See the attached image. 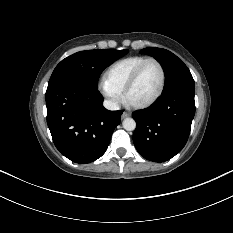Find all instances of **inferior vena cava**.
<instances>
[{
    "label": "inferior vena cava",
    "instance_id": "obj_1",
    "mask_svg": "<svg viewBox=\"0 0 233 233\" xmlns=\"http://www.w3.org/2000/svg\"><path fill=\"white\" fill-rule=\"evenodd\" d=\"M103 106L108 110H112V111L119 110V105L117 104V102L112 100H105L103 102Z\"/></svg>",
    "mask_w": 233,
    "mask_h": 233
}]
</instances>
